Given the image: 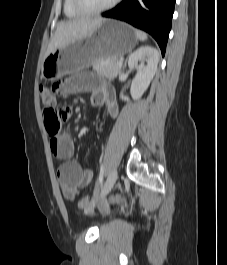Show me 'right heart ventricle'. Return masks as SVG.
<instances>
[{"instance_id": "e07e8e85", "label": "right heart ventricle", "mask_w": 227, "mask_h": 265, "mask_svg": "<svg viewBox=\"0 0 227 265\" xmlns=\"http://www.w3.org/2000/svg\"><path fill=\"white\" fill-rule=\"evenodd\" d=\"M63 9L65 15L69 18H76L82 15L74 8L72 0H64Z\"/></svg>"}]
</instances>
